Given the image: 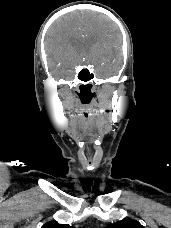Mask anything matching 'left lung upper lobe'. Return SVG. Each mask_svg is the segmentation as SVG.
Listing matches in <instances>:
<instances>
[{
  "label": "left lung upper lobe",
  "mask_w": 171,
  "mask_h": 228,
  "mask_svg": "<svg viewBox=\"0 0 171 228\" xmlns=\"http://www.w3.org/2000/svg\"><path fill=\"white\" fill-rule=\"evenodd\" d=\"M106 228H144L138 221L129 219L109 224Z\"/></svg>",
  "instance_id": "5c2ea615"
}]
</instances>
